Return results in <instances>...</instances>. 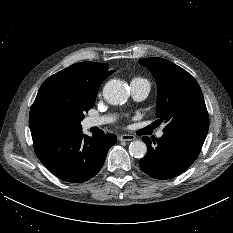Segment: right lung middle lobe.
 <instances>
[{
  "mask_svg": "<svg viewBox=\"0 0 233 233\" xmlns=\"http://www.w3.org/2000/svg\"><path fill=\"white\" fill-rule=\"evenodd\" d=\"M96 94L66 85H54L48 95L47 108L60 129L82 128L84 119L95 103Z\"/></svg>",
  "mask_w": 233,
  "mask_h": 233,
  "instance_id": "1",
  "label": "right lung middle lobe"
}]
</instances>
